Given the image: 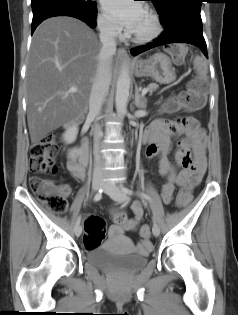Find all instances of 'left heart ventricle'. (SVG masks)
Wrapping results in <instances>:
<instances>
[{"label":"left heart ventricle","instance_id":"obj_1","mask_svg":"<svg viewBox=\"0 0 238 315\" xmlns=\"http://www.w3.org/2000/svg\"><path fill=\"white\" fill-rule=\"evenodd\" d=\"M152 27L151 19L146 12H143L139 18L134 30L131 32L134 35H144L147 34Z\"/></svg>","mask_w":238,"mask_h":315}]
</instances>
